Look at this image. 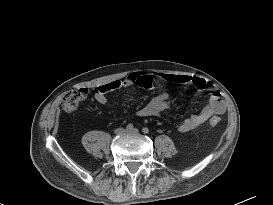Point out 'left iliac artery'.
Masks as SVG:
<instances>
[{
  "mask_svg": "<svg viewBox=\"0 0 273 205\" xmlns=\"http://www.w3.org/2000/svg\"><path fill=\"white\" fill-rule=\"evenodd\" d=\"M142 132L145 133V134H148L149 133V129L147 127H144L142 129Z\"/></svg>",
  "mask_w": 273,
  "mask_h": 205,
  "instance_id": "left-iliac-artery-1",
  "label": "left iliac artery"
}]
</instances>
